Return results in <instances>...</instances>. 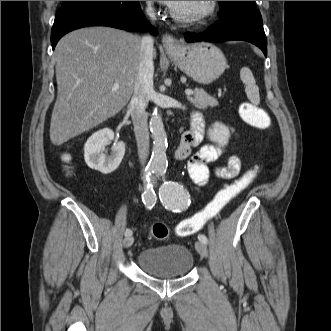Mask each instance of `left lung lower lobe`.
<instances>
[{
    "instance_id": "1",
    "label": "left lung lower lobe",
    "mask_w": 331,
    "mask_h": 331,
    "mask_svg": "<svg viewBox=\"0 0 331 331\" xmlns=\"http://www.w3.org/2000/svg\"><path fill=\"white\" fill-rule=\"evenodd\" d=\"M187 42L243 40L258 46L267 56V40L258 10L221 17L203 33H185Z\"/></svg>"
}]
</instances>
